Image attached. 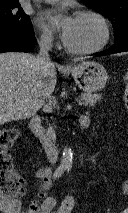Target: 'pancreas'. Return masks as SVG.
Returning a JSON list of instances; mask_svg holds the SVG:
<instances>
[{
  "mask_svg": "<svg viewBox=\"0 0 128 213\" xmlns=\"http://www.w3.org/2000/svg\"><path fill=\"white\" fill-rule=\"evenodd\" d=\"M101 99V95L99 94H91V93H84L81 94V104L84 106H94L98 100ZM49 130L53 133V128L50 126Z\"/></svg>",
  "mask_w": 128,
  "mask_h": 213,
  "instance_id": "1",
  "label": "pancreas"
}]
</instances>
